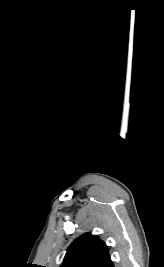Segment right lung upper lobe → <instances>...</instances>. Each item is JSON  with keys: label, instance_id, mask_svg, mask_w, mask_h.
I'll list each match as a JSON object with an SVG mask.
<instances>
[{"label": "right lung upper lobe", "instance_id": "cb5924a9", "mask_svg": "<svg viewBox=\"0 0 164 267\" xmlns=\"http://www.w3.org/2000/svg\"><path fill=\"white\" fill-rule=\"evenodd\" d=\"M109 260L104 242L97 236L86 233L69 246L60 267H102Z\"/></svg>", "mask_w": 164, "mask_h": 267}]
</instances>
